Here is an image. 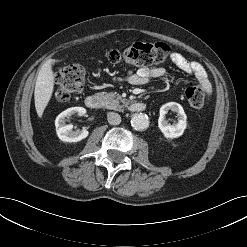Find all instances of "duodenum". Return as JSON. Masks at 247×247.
<instances>
[{
	"instance_id": "duodenum-1",
	"label": "duodenum",
	"mask_w": 247,
	"mask_h": 247,
	"mask_svg": "<svg viewBox=\"0 0 247 247\" xmlns=\"http://www.w3.org/2000/svg\"><path fill=\"white\" fill-rule=\"evenodd\" d=\"M85 104L88 108L93 110H98L102 108V100L97 95H89L85 99ZM146 108L145 103L134 101L130 105V109L133 112H142Z\"/></svg>"
}]
</instances>
